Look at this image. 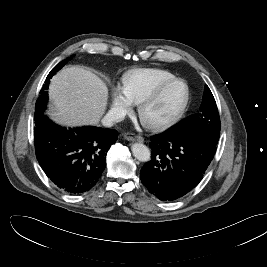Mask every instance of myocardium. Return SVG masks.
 I'll list each match as a JSON object with an SVG mask.
<instances>
[{
    "label": "myocardium",
    "mask_w": 267,
    "mask_h": 267,
    "mask_svg": "<svg viewBox=\"0 0 267 267\" xmlns=\"http://www.w3.org/2000/svg\"><path fill=\"white\" fill-rule=\"evenodd\" d=\"M179 85L183 86L185 89V95L179 107L166 117L159 119H149L146 116L147 110L154 104H156L169 90ZM189 102H190L189 86L183 80L176 79L158 88L155 92H153L152 94L148 95L143 100H141V102L138 104L137 112L140 121L146 128L151 130H163L174 125L180 120V118L186 112Z\"/></svg>",
    "instance_id": "f54148a6"
}]
</instances>
